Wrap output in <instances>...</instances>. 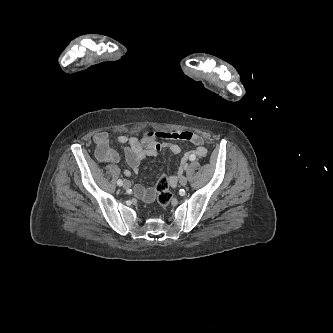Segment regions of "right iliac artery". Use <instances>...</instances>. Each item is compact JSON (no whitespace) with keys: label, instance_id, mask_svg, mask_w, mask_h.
<instances>
[{"label":"right iliac artery","instance_id":"obj_1","mask_svg":"<svg viewBox=\"0 0 333 333\" xmlns=\"http://www.w3.org/2000/svg\"><path fill=\"white\" fill-rule=\"evenodd\" d=\"M117 184H118L119 186H122V185H123V181H122L121 179H119V180L117 181Z\"/></svg>","mask_w":333,"mask_h":333}]
</instances>
